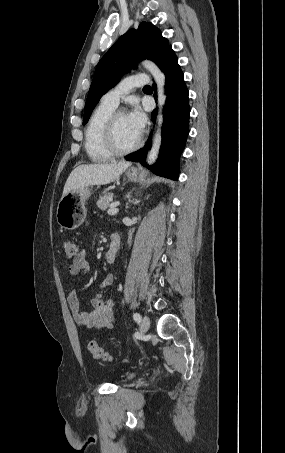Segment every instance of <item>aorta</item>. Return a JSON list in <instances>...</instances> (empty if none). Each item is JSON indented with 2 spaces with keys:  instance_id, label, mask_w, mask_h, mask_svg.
<instances>
[{
  "instance_id": "aorta-1",
  "label": "aorta",
  "mask_w": 285,
  "mask_h": 453,
  "mask_svg": "<svg viewBox=\"0 0 285 453\" xmlns=\"http://www.w3.org/2000/svg\"><path fill=\"white\" fill-rule=\"evenodd\" d=\"M142 65L145 69H147L155 79L157 85V95H158V128L153 138L152 148L147 155V162L149 165L153 164L157 159L159 148L161 145V126L163 122V114L162 109L166 101L165 95V75L161 72L158 66L153 63L152 61L145 60L142 62Z\"/></svg>"
}]
</instances>
